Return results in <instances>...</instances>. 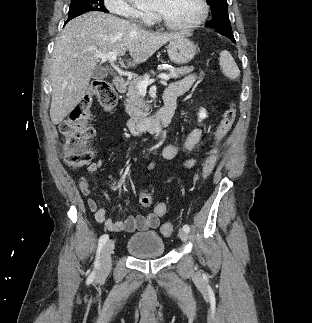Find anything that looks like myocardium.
Instances as JSON below:
<instances>
[{
	"instance_id": "1",
	"label": "myocardium",
	"mask_w": 312,
	"mask_h": 323,
	"mask_svg": "<svg viewBox=\"0 0 312 323\" xmlns=\"http://www.w3.org/2000/svg\"><path fill=\"white\" fill-rule=\"evenodd\" d=\"M208 1L199 0L201 5L200 18H193V20H169L165 12H156L155 17L159 25H168V27H171V31H194V25H202L203 21H208L209 19L212 5Z\"/></svg>"
}]
</instances>
